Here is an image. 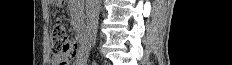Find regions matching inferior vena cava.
<instances>
[{
	"instance_id": "inferior-vena-cava-1",
	"label": "inferior vena cava",
	"mask_w": 232,
	"mask_h": 65,
	"mask_svg": "<svg viewBox=\"0 0 232 65\" xmlns=\"http://www.w3.org/2000/svg\"><path fill=\"white\" fill-rule=\"evenodd\" d=\"M99 12V0H86L87 31L93 45L96 42Z\"/></svg>"
}]
</instances>
